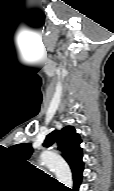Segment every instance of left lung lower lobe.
Segmentation results:
<instances>
[{
  "label": "left lung lower lobe",
  "mask_w": 114,
  "mask_h": 191,
  "mask_svg": "<svg viewBox=\"0 0 114 191\" xmlns=\"http://www.w3.org/2000/svg\"><path fill=\"white\" fill-rule=\"evenodd\" d=\"M82 171H83V163H81L80 165H78L76 168L72 170L73 179H74V188L72 191H78V188L82 180Z\"/></svg>",
  "instance_id": "left-lung-lower-lobe-1"
}]
</instances>
